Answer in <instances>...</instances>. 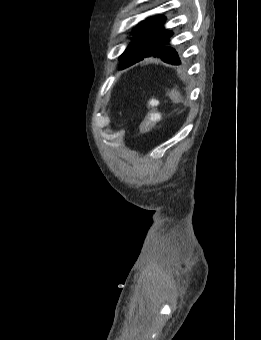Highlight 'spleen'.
<instances>
[{
    "instance_id": "spleen-1",
    "label": "spleen",
    "mask_w": 261,
    "mask_h": 340,
    "mask_svg": "<svg viewBox=\"0 0 261 340\" xmlns=\"http://www.w3.org/2000/svg\"><path fill=\"white\" fill-rule=\"evenodd\" d=\"M169 97L172 100V102L175 103V104L183 102V97H182L181 93L177 90V87L173 88L169 92Z\"/></svg>"
}]
</instances>
